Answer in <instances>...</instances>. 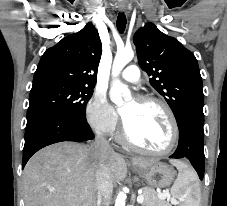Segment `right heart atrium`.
Masks as SVG:
<instances>
[{
	"instance_id": "1",
	"label": "right heart atrium",
	"mask_w": 227,
	"mask_h": 206,
	"mask_svg": "<svg viewBox=\"0 0 227 206\" xmlns=\"http://www.w3.org/2000/svg\"><path fill=\"white\" fill-rule=\"evenodd\" d=\"M86 118L91 129L99 135H111L119 124L114 107L102 94H95L86 107Z\"/></svg>"
}]
</instances>
